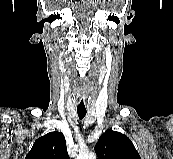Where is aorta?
I'll return each instance as SVG.
<instances>
[{"instance_id": "obj_1", "label": "aorta", "mask_w": 173, "mask_h": 159, "mask_svg": "<svg viewBox=\"0 0 173 159\" xmlns=\"http://www.w3.org/2000/svg\"><path fill=\"white\" fill-rule=\"evenodd\" d=\"M77 159H96L95 155L88 151H80Z\"/></svg>"}]
</instances>
